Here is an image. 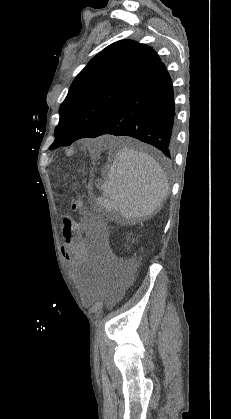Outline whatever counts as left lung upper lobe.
Instances as JSON below:
<instances>
[{"label": "left lung upper lobe", "instance_id": "obj_1", "mask_svg": "<svg viewBox=\"0 0 231 419\" xmlns=\"http://www.w3.org/2000/svg\"><path fill=\"white\" fill-rule=\"evenodd\" d=\"M160 63L151 47L132 40L115 42L98 53L71 84L49 149L93 134Z\"/></svg>", "mask_w": 231, "mask_h": 419}]
</instances>
